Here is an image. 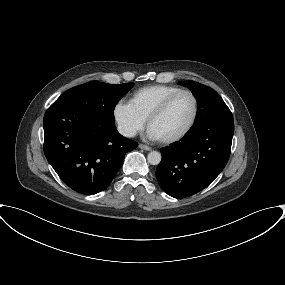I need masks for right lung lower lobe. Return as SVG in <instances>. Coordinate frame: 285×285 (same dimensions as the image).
<instances>
[{
  "mask_svg": "<svg viewBox=\"0 0 285 285\" xmlns=\"http://www.w3.org/2000/svg\"><path fill=\"white\" fill-rule=\"evenodd\" d=\"M43 127L47 160L68 187L85 195L104 190L125 154L138 146L115 124L65 103L48 108Z\"/></svg>",
  "mask_w": 285,
  "mask_h": 285,
  "instance_id": "1",
  "label": "right lung lower lobe"
}]
</instances>
